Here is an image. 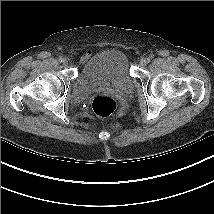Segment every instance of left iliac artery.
Returning <instances> with one entry per match:
<instances>
[{"label":"left iliac artery","mask_w":214,"mask_h":214,"mask_svg":"<svg viewBox=\"0 0 214 214\" xmlns=\"http://www.w3.org/2000/svg\"><path fill=\"white\" fill-rule=\"evenodd\" d=\"M153 57H154V55L150 54L148 60L150 61V59H152Z\"/></svg>","instance_id":"obj_1"}]
</instances>
